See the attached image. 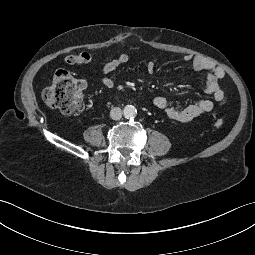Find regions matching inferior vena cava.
<instances>
[{
  "instance_id": "obj_1",
  "label": "inferior vena cava",
  "mask_w": 255,
  "mask_h": 255,
  "mask_svg": "<svg viewBox=\"0 0 255 255\" xmlns=\"http://www.w3.org/2000/svg\"><path fill=\"white\" fill-rule=\"evenodd\" d=\"M122 110L119 107H114L110 111V117L113 120H120L122 118Z\"/></svg>"
}]
</instances>
